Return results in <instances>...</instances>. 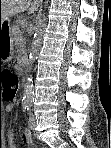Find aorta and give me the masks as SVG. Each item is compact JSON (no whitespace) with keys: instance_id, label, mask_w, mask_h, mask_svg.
<instances>
[{"instance_id":"762f6f07","label":"aorta","mask_w":111,"mask_h":148,"mask_svg":"<svg viewBox=\"0 0 111 148\" xmlns=\"http://www.w3.org/2000/svg\"><path fill=\"white\" fill-rule=\"evenodd\" d=\"M46 27V17L42 15L38 19V23L36 26L32 46L30 49L29 60L30 63L33 64L37 55L41 49L42 39L44 34V29ZM32 79L31 76L27 78V81L24 86V94H23V103L24 104H31L34 99V89L33 84L31 83Z\"/></svg>"}]
</instances>
